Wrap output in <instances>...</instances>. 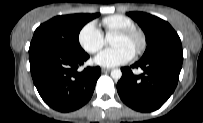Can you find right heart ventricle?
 <instances>
[{"label": "right heart ventricle", "mask_w": 203, "mask_h": 123, "mask_svg": "<svg viewBox=\"0 0 203 123\" xmlns=\"http://www.w3.org/2000/svg\"><path fill=\"white\" fill-rule=\"evenodd\" d=\"M102 23L107 33H112L119 29L135 27L131 18L118 14L105 17Z\"/></svg>", "instance_id": "right-heart-ventricle-1"}]
</instances>
